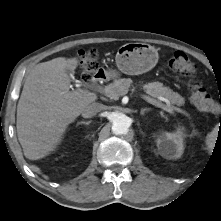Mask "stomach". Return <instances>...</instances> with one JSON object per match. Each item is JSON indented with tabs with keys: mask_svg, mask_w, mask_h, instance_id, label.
<instances>
[{
	"mask_svg": "<svg viewBox=\"0 0 221 221\" xmlns=\"http://www.w3.org/2000/svg\"><path fill=\"white\" fill-rule=\"evenodd\" d=\"M158 52L149 44L127 43L116 54L119 71L128 75H140L151 70L158 62Z\"/></svg>",
	"mask_w": 221,
	"mask_h": 221,
	"instance_id": "obj_1",
	"label": "stomach"
}]
</instances>
